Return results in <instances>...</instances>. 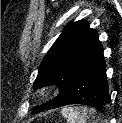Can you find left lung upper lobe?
<instances>
[{"label": "left lung upper lobe", "instance_id": "5c2ea615", "mask_svg": "<svg viewBox=\"0 0 122 123\" xmlns=\"http://www.w3.org/2000/svg\"><path fill=\"white\" fill-rule=\"evenodd\" d=\"M101 50L98 34L89 27L87 21L68 24L44 57L33 84L34 90L56 84L60 93L51 102L34 107L32 114L54 105L71 85L77 73Z\"/></svg>", "mask_w": 122, "mask_h": 123}]
</instances>
